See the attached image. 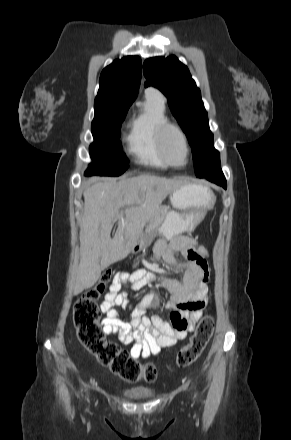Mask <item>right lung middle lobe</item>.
Here are the masks:
<instances>
[{
    "mask_svg": "<svg viewBox=\"0 0 291 440\" xmlns=\"http://www.w3.org/2000/svg\"><path fill=\"white\" fill-rule=\"evenodd\" d=\"M91 130L94 142L90 145L89 164L85 175L119 176L127 168V157L119 140L120 126L129 106L107 105L94 107Z\"/></svg>",
    "mask_w": 291,
    "mask_h": 440,
    "instance_id": "dd1d6c3e",
    "label": "right lung middle lobe"
}]
</instances>
